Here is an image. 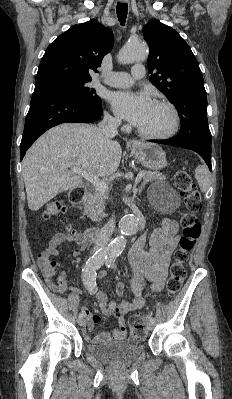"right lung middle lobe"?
Listing matches in <instances>:
<instances>
[{
	"mask_svg": "<svg viewBox=\"0 0 232 399\" xmlns=\"http://www.w3.org/2000/svg\"><path fill=\"white\" fill-rule=\"evenodd\" d=\"M91 80H82L74 78H54L42 83H51L73 93L81 101L93 106H101V98L95 94V89L86 86Z\"/></svg>",
	"mask_w": 232,
	"mask_h": 399,
	"instance_id": "right-lung-middle-lobe-1",
	"label": "right lung middle lobe"
}]
</instances>
